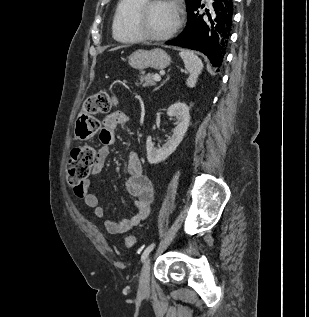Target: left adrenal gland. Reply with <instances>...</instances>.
I'll return each mask as SVG.
<instances>
[{
	"instance_id": "1",
	"label": "left adrenal gland",
	"mask_w": 309,
	"mask_h": 317,
	"mask_svg": "<svg viewBox=\"0 0 309 317\" xmlns=\"http://www.w3.org/2000/svg\"><path fill=\"white\" fill-rule=\"evenodd\" d=\"M168 79H169V78H168ZM168 79H167V80H168ZM167 80H166V81H167ZM166 81H165V82H166ZM165 82H163V84H164ZM163 84H162V85H163Z\"/></svg>"
}]
</instances>
